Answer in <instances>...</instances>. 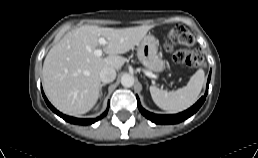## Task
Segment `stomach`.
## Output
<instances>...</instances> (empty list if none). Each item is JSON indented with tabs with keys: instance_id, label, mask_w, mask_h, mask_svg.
<instances>
[{
	"instance_id": "1",
	"label": "stomach",
	"mask_w": 258,
	"mask_h": 158,
	"mask_svg": "<svg viewBox=\"0 0 258 158\" xmlns=\"http://www.w3.org/2000/svg\"><path fill=\"white\" fill-rule=\"evenodd\" d=\"M137 57L151 71L162 72L165 68V63L158 54V41L151 34L145 36L138 44Z\"/></svg>"
}]
</instances>
